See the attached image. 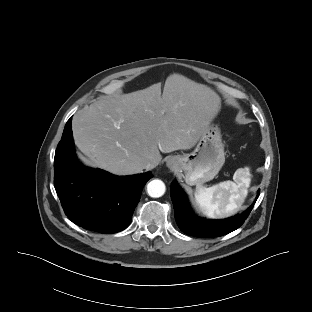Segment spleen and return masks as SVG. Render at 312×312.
Segmentation results:
<instances>
[{
  "mask_svg": "<svg viewBox=\"0 0 312 312\" xmlns=\"http://www.w3.org/2000/svg\"><path fill=\"white\" fill-rule=\"evenodd\" d=\"M247 168L234 173V181H223L212 187L197 185L195 200L200 210L208 217H226L237 212L244 203L250 183Z\"/></svg>",
  "mask_w": 312,
  "mask_h": 312,
  "instance_id": "obj_1",
  "label": "spleen"
}]
</instances>
